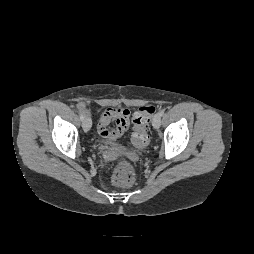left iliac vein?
I'll list each match as a JSON object with an SVG mask.
<instances>
[{"label":"left iliac vein","mask_w":254,"mask_h":254,"mask_svg":"<svg viewBox=\"0 0 254 254\" xmlns=\"http://www.w3.org/2000/svg\"><path fill=\"white\" fill-rule=\"evenodd\" d=\"M161 125V116L159 115V113L155 114V116L153 117V120H152V126L155 128V129H158Z\"/></svg>","instance_id":"left-iliac-vein-1"}]
</instances>
